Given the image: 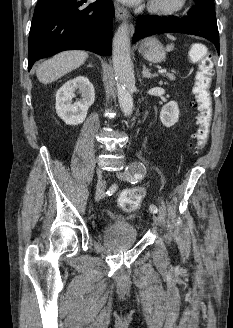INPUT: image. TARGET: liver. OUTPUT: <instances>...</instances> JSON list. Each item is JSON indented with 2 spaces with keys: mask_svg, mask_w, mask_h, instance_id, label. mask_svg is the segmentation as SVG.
Returning <instances> with one entry per match:
<instances>
[{
  "mask_svg": "<svg viewBox=\"0 0 233 328\" xmlns=\"http://www.w3.org/2000/svg\"><path fill=\"white\" fill-rule=\"evenodd\" d=\"M88 58L85 51H64L41 63L36 76L43 84L51 83L66 73L81 66Z\"/></svg>",
  "mask_w": 233,
  "mask_h": 328,
  "instance_id": "liver-1",
  "label": "liver"
}]
</instances>
